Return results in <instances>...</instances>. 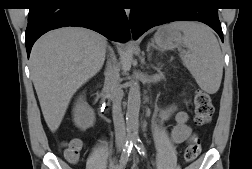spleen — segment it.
<instances>
[{
	"mask_svg": "<svg viewBox=\"0 0 252 169\" xmlns=\"http://www.w3.org/2000/svg\"><path fill=\"white\" fill-rule=\"evenodd\" d=\"M172 25L184 34L183 43L188 49L181 54L184 65L203 91L216 93L223 74V56L217 38L201 23L177 22Z\"/></svg>",
	"mask_w": 252,
	"mask_h": 169,
	"instance_id": "spleen-1",
	"label": "spleen"
}]
</instances>
